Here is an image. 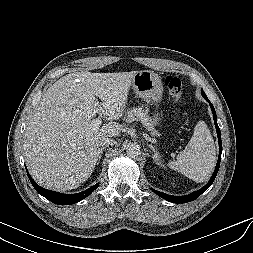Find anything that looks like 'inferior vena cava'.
<instances>
[{"mask_svg":"<svg viewBox=\"0 0 253 253\" xmlns=\"http://www.w3.org/2000/svg\"><path fill=\"white\" fill-rule=\"evenodd\" d=\"M115 143L114 139L108 136L102 137L100 140V146L113 145Z\"/></svg>","mask_w":253,"mask_h":253,"instance_id":"obj_1","label":"inferior vena cava"}]
</instances>
